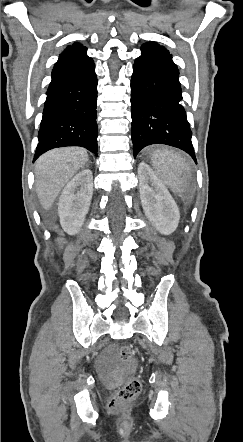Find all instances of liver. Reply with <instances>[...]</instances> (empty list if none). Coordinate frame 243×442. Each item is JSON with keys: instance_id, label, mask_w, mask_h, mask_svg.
Wrapping results in <instances>:
<instances>
[{"instance_id": "1", "label": "liver", "mask_w": 243, "mask_h": 442, "mask_svg": "<svg viewBox=\"0 0 243 442\" xmlns=\"http://www.w3.org/2000/svg\"><path fill=\"white\" fill-rule=\"evenodd\" d=\"M89 161L80 147L50 150L35 164V190L44 210H49L65 184Z\"/></svg>"}]
</instances>
